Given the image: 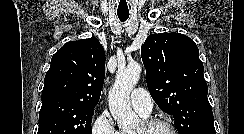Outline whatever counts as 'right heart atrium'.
<instances>
[{
	"label": "right heart atrium",
	"mask_w": 244,
	"mask_h": 134,
	"mask_svg": "<svg viewBox=\"0 0 244 134\" xmlns=\"http://www.w3.org/2000/svg\"><path fill=\"white\" fill-rule=\"evenodd\" d=\"M116 128L111 114L104 110L93 121L91 134H121Z\"/></svg>",
	"instance_id": "obj_1"
}]
</instances>
